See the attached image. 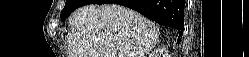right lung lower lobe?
I'll use <instances>...</instances> for the list:
<instances>
[{"mask_svg": "<svg viewBox=\"0 0 249 57\" xmlns=\"http://www.w3.org/2000/svg\"><path fill=\"white\" fill-rule=\"evenodd\" d=\"M116 3L134 9L160 25L184 29L183 0H92L90 4Z\"/></svg>", "mask_w": 249, "mask_h": 57, "instance_id": "1", "label": "right lung lower lobe"}]
</instances>
